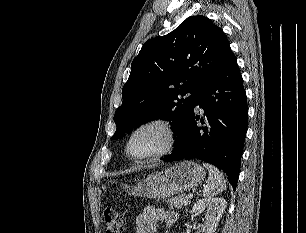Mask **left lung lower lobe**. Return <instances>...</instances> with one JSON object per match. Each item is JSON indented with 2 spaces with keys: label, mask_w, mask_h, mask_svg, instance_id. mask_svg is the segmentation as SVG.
<instances>
[{
  "label": "left lung lower lobe",
  "mask_w": 306,
  "mask_h": 233,
  "mask_svg": "<svg viewBox=\"0 0 306 233\" xmlns=\"http://www.w3.org/2000/svg\"><path fill=\"white\" fill-rule=\"evenodd\" d=\"M205 112L198 127L194 110L175 138V149L162 160L198 158L222 169L235 190L247 131L248 107L236 57L230 50L200 92L195 106ZM204 124L203 118L200 120Z\"/></svg>",
  "instance_id": "obj_1"
}]
</instances>
